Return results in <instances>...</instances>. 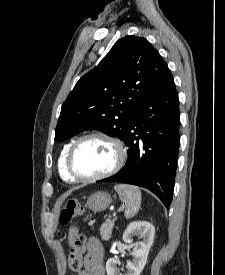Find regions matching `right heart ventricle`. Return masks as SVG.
I'll return each instance as SVG.
<instances>
[{
    "mask_svg": "<svg viewBox=\"0 0 225 275\" xmlns=\"http://www.w3.org/2000/svg\"><path fill=\"white\" fill-rule=\"evenodd\" d=\"M72 142L67 143L61 153L60 156L58 158V172L60 177L66 181V182H73L74 178H72L70 176V174L68 173L67 169H66V156H67V152L71 146Z\"/></svg>",
    "mask_w": 225,
    "mask_h": 275,
    "instance_id": "1",
    "label": "right heart ventricle"
}]
</instances>
